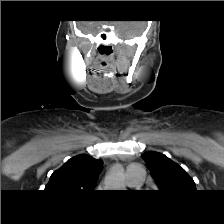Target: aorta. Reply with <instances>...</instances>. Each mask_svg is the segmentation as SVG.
Returning a JSON list of instances; mask_svg holds the SVG:
<instances>
[{"label":"aorta","mask_w":224,"mask_h":224,"mask_svg":"<svg viewBox=\"0 0 224 224\" xmlns=\"http://www.w3.org/2000/svg\"><path fill=\"white\" fill-rule=\"evenodd\" d=\"M124 187V175L122 168L115 165L107 176L106 188L120 190Z\"/></svg>","instance_id":"1"}]
</instances>
